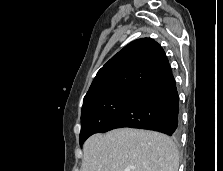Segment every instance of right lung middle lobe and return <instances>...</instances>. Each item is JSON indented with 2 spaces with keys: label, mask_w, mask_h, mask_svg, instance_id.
Listing matches in <instances>:
<instances>
[{
  "label": "right lung middle lobe",
  "mask_w": 223,
  "mask_h": 171,
  "mask_svg": "<svg viewBox=\"0 0 223 171\" xmlns=\"http://www.w3.org/2000/svg\"><path fill=\"white\" fill-rule=\"evenodd\" d=\"M138 94L114 93L97 98L82 107L80 145L127 106Z\"/></svg>",
  "instance_id": "dd1d6c3e"
}]
</instances>
